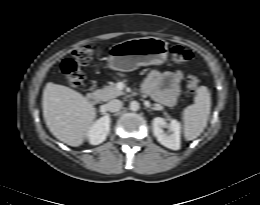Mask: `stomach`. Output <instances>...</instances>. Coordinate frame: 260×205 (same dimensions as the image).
Wrapping results in <instances>:
<instances>
[{
    "instance_id": "1",
    "label": "stomach",
    "mask_w": 260,
    "mask_h": 205,
    "mask_svg": "<svg viewBox=\"0 0 260 205\" xmlns=\"http://www.w3.org/2000/svg\"><path fill=\"white\" fill-rule=\"evenodd\" d=\"M167 56L165 40L152 36L133 38L113 45L109 67L118 71H131L139 66L161 65Z\"/></svg>"
}]
</instances>
